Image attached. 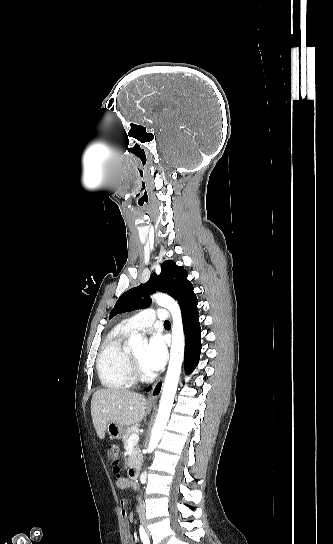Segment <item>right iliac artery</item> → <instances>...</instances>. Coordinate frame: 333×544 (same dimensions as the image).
<instances>
[{"label":"right iliac artery","mask_w":333,"mask_h":544,"mask_svg":"<svg viewBox=\"0 0 333 544\" xmlns=\"http://www.w3.org/2000/svg\"><path fill=\"white\" fill-rule=\"evenodd\" d=\"M139 533H140V538H141L143 544H150L149 543V538H148V536H147V534H146V532H145V530H144V528L142 526H140V528H139Z\"/></svg>","instance_id":"1"}]
</instances>
